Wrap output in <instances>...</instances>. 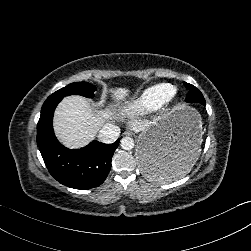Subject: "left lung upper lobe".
I'll list each match as a JSON object with an SVG mask.
<instances>
[{"label":"left lung upper lobe","instance_id":"5c2ea615","mask_svg":"<svg viewBox=\"0 0 251 251\" xmlns=\"http://www.w3.org/2000/svg\"><path fill=\"white\" fill-rule=\"evenodd\" d=\"M185 87L189 90L186 101L190 103H200L202 105H206L205 99L202 93L193 85L184 83Z\"/></svg>","mask_w":251,"mask_h":251}]
</instances>
